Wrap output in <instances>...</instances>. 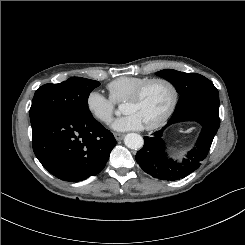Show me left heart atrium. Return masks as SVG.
<instances>
[{
    "instance_id": "left-heart-atrium-1",
    "label": "left heart atrium",
    "mask_w": 245,
    "mask_h": 245,
    "mask_svg": "<svg viewBox=\"0 0 245 245\" xmlns=\"http://www.w3.org/2000/svg\"><path fill=\"white\" fill-rule=\"evenodd\" d=\"M144 127L141 119L135 114H125L124 116L116 119L112 128L117 131H129V130H140Z\"/></svg>"
}]
</instances>
